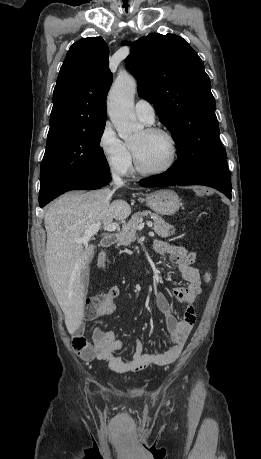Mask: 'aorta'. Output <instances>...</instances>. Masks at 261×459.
<instances>
[{"mask_svg":"<svg viewBox=\"0 0 261 459\" xmlns=\"http://www.w3.org/2000/svg\"><path fill=\"white\" fill-rule=\"evenodd\" d=\"M136 81L127 74L115 80L107 98V110L118 135L125 141L137 137L143 130L134 113Z\"/></svg>","mask_w":261,"mask_h":459,"instance_id":"762f6f07","label":"aorta"}]
</instances>
